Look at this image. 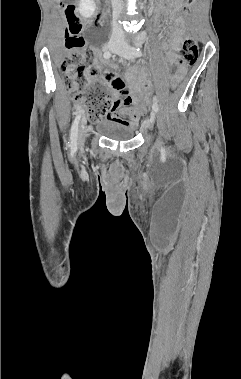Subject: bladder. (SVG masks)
Returning <instances> with one entry per match:
<instances>
[{
    "label": "bladder",
    "mask_w": 241,
    "mask_h": 379,
    "mask_svg": "<svg viewBox=\"0 0 241 379\" xmlns=\"http://www.w3.org/2000/svg\"><path fill=\"white\" fill-rule=\"evenodd\" d=\"M98 129L105 137L116 141L131 140L135 135L133 126L111 118L104 119Z\"/></svg>",
    "instance_id": "1"
}]
</instances>
